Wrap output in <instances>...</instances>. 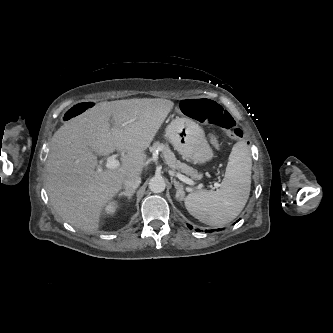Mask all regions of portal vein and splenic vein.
Returning a JSON list of instances; mask_svg holds the SVG:
<instances>
[{"mask_svg":"<svg viewBox=\"0 0 333 333\" xmlns=\"http://www.w3.org/2000/svg\"><path fill=\"white\" fill-rule=\"evenodd\" d=\"M126 124V123H125ZM124 124V125H125ZM120 166V162L115 159V157H109L107 159V162H106V167L109 168V169H114V168H117ZM176 177L178 179H180L181 181H183L184 183L186 184H189V185H193L194 184V181L191 180L190 178L186 177L185 175L181 174V173H176ZM214 187L217 188L219 187V184L218 183H215L214 184Z\"/></svg>","mask_w":333,"mask_h":333,"instance_id":"18ae733b","label":"portal vein and splenic vein"}]
</instances>
